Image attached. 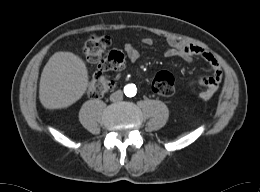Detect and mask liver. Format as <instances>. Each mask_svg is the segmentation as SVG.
<instances>
[{"label":"liver","mask_w":260,"mask_h":192,"mask_svg":"<svg viewBox=\"0 0 260 192\" xmlns=\"http://www.w3.org/2000/svg\"><path fill=\"white\" fill-rule=\"evenodd\" d=\"M87 86L84 61L72 52H56L41 73L39 99L47 109L66 108L83 96Z\"/></svg>","instance_id":"obj_1"}]
</instances>
